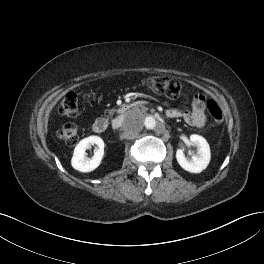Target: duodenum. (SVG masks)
<instances>
[{"instance_id":"duodenum-1","label":"duodenum","mask_w":264,"mask_h":264,"mask_svg":"<svg viewBox=\"0 0 264 264\" xmlns=\"http://www.w3.org/2000/svg\"><path fill=\"white\" fill-rule=\"evenodd\" d=\"M137 104L136 103H132L129 105H125L123 107H121L120 111L121 113H125L128 110L132 109V108H136ZM109 126V120L105 117H101L98 118L94 123H93V131L96 133H103L104 131L107 130Z\"/></svg>"}]
</instances>
